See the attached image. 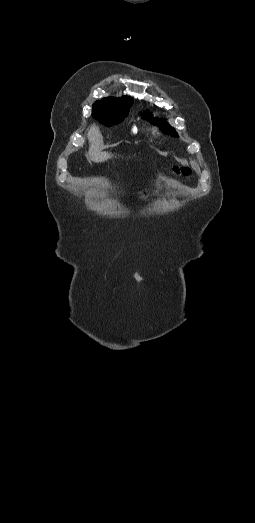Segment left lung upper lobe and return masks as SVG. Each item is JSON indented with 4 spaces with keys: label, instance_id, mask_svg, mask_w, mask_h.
<instances>
[{
    "label": "left lung upper lobe",
    "instance_id": "1",
    "mask_svg": "<svg viewBox=\"0 0 255 523\" xmlns=\"http://www.w3.org/2000/svg\"><path fill=\"white\" fill-rule=\"evenodd\" d=\"M142 118L143 119H147L152 124L158 125L160 127V129L164 133L171 134V135H173L175 137L177 136L174 128L171 127L165 120H163V119H152V117L147 112H144V114L142 115Z\"/></svg>",
    "mask_w": 255,
    "mask_h": 523
}]
</instances>
